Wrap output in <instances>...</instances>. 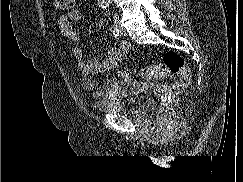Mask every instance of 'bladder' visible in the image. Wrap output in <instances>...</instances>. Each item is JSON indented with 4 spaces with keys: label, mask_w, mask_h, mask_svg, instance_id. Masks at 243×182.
Wrapping results in <instances>:
<instances>
[{
    "label": "bladder",
    "mask_w": 243,
    "mask_h": 182,
    "mask_svg": "<svg viewBox=\"0 0 243 182\" xmlns=\"http://www.w3.org/2000/svg\"><path fill=\"white\" fill-rule=\"evenodd\" d=\"M146 97L140 93L125 98L101 100L93 103L96 111L104 114L136 115L143 111Z\"/></svg>",
    "instance_id": "obj_1"
}]
</instances>
